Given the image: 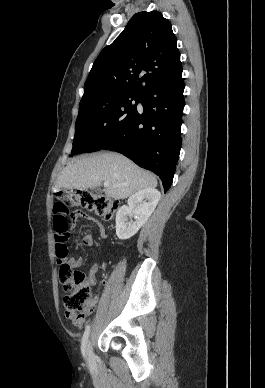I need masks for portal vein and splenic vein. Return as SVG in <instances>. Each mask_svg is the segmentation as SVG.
I'll return each mask as SVG.
<instances>
[{
	"label": "portal vein and splenic vein",
	"mask_w": 265,
	"mask_h": 388,
	"mask_svg": "<svg viewBox=\"0 0 265 388\" xmlns=\"http://www.w3.org/2000/svg\"><path fill=\"white\" fill-rule=\"evenodd\" d=\"M104 186L105 188H108V186H110L109 182H104ZM113 186H117V184H113Z\"/></svg>",
	"instance_id": "1"
}]
</instances>
